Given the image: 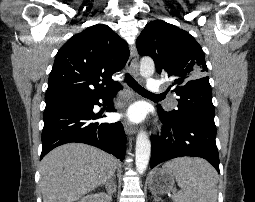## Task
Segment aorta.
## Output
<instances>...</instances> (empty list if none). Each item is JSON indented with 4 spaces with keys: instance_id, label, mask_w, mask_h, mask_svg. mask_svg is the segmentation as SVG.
Wrapping results in <instances>:
<instances>
[{
    "instance_id": "aorta-1",
    "label": "aorta",
    "mask_w": 255,
    "mask_h": 202,
    "mask_svg": "<svg viewBox=\"0 0 255 202\" xmlns=\"http://www.w3.org/2000/svg\"><path fill=\"white\" fill-rule=\"evenodd\" d=\"M155 64L150 57H144L140 61V75L149 78L154 74ZM151 154V142L146 131L140 130L136 138L135 164L139 174H143L148 166Z\"/></svg>"
}]
</instances>
